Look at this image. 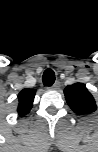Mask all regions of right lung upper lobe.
Returning <instances> with one entry per match:
<instances>
[{
  "mask_svg": "<svg viewBox=\"0 0 98 152\" xmlns=\"http://www.w3.org/2000/svg\"><path fill=\"white\" fill-rule=\"evenodd\" d=\"M36 90L34 89H23L18 94V114L19 116H25L28 114L33 106L34 96H35Z\"/></svg>",
  "mask_w": 98,
  "mask_h": 152,
  "instance_id": "cb5924a9",
  "label": "right lung upper lobe"
}]
</instances>
